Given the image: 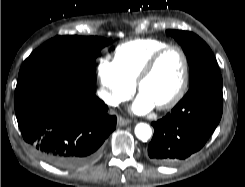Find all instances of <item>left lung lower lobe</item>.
<instances>
[{
    "label": "left lung lower lobe",
    "mask_w": 245,
    "mask_h": 187,
    "mask_svg": "<svg viewBox=\"0 0 245 187\" xmlns=\"http://www.w3.org/2000/svg\"><path fill=\"white\" fill-rule=\"evenodd\" d=\"M222 77L214 75L189 88L164 118L153 122L147 158L168 165L199 151L217 127L223 111Z\"/></svg>",
    "instance_id": "1"
}]
</instances>
